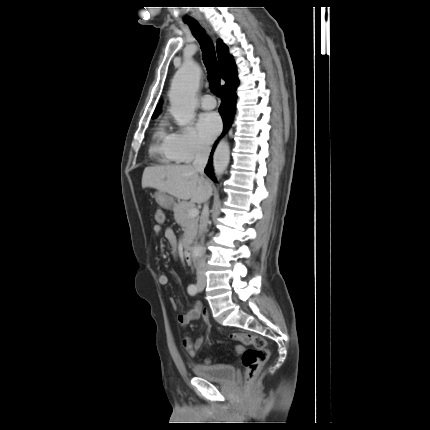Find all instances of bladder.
Returning <instances> with one entry per match:
<instances>
[{
    "label": "bladder",
    "mask_w": 430,
    "mask_h": 430,
    "mask_svg": "<svg viewBox=\"0 0 430 430\" xmlns=\"http://www.w3.org/2000/svg\"><path fill=\"white\" fill-rule=\"evenodd\" d=\"M192 371L197 377L224 384L231 382L236 374L235 367L230 364H197Z\"/></svg>",
    "instance_id": "obj_1"
}]
</instances>
